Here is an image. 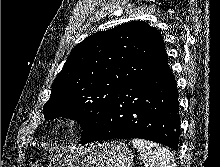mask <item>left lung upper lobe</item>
Returning <instances> with one entry per match:
<instances>
[{
    "mask_svg": "<svg viewBox=\"0 0 220 167\" xmlns=\"http://www.w3.org/2000/svg\"><path fill=\"white\" fill-rule=\"evenodd\" d=\"M167 58L161 34L142 21L90 35L54 80L44 116L77 120L84 141L98 132L118 90Z\"/></svg>",
    "mask_w": 220,
    "mask_h": 167,
    "instance_id": "1",
    "label": "left lung upper lobe"
}]
</instances>
